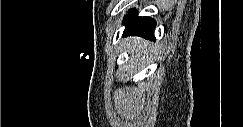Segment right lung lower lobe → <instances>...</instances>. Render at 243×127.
Instances as JSON below:
<instances>
[{
	"label": "right lung lower lobe",
	"mask_w": 243,
	"mask_h": 127,
	"mask_svg": "<svg viewBox=\"0 0 243 127\" xmlns=\"http://www.w3.org/2000/svg\"><path fill=\"white\" fill-rule=\"evenodd\" d=\"M126 28L123 32L124 36H141L146 39L154 38V29L156 22L150 17H138L136 11L132 10L124 21Z\"/></svg>",
	"instance_id": "98d812e1"
}]
</instances>
